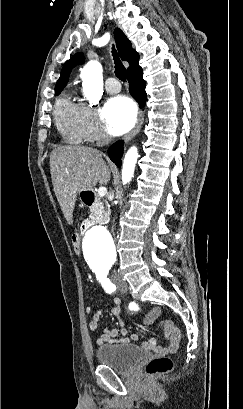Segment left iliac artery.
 Masks as SVG:
<instances>
[{
	"mask_svg": "<svg viewBox=\"0 0 243 409\" xmlns=\"http://www.w3.org/2000/svg\"><path fill=\"white\" fill-rule=\"evenodd\" d=\"M97 279L101 283L102 287L106 290L108 293H112L113 291L116 290V286L110 282V280L107 278L108 270L101 269V270H96L95 271Z\"/></svg>",
	"mask_w": 243,
	"mask_h": 409,
	"instance_id": "left-iliac-artery-1",
	"label": "left iliac artery"
}]
</instances>
